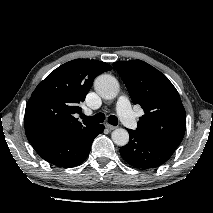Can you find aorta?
<instances>
[{
    "label": "aorta",
    "instance_id": "1",
    "mask_svg": "<svg viewBox=\"0 0 213 213\" xmlns=\"http://www.w3.org/2000/svg\"><path fill=\"white\" fill-rule=\"evenodd\" d=\"M94 88L96 92L104 99H114L119 92V83L111 75L102 74L94 81ZM113 142L118 146H125L129 142V133L126 129L117 128L112 134Z\"/></svg>",
    "mask_w": 213,
    "mask_h": 213
}]
</instances>
